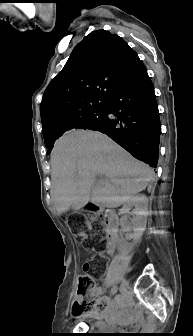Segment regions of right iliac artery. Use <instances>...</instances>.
<instances>
[{
    "instance_id": "82829eb1",
    "label": "right iliac artery",
    "mask_w": 193,
    "mask_h": 336,
    "mask_svg": "<svg viewBox=\"0 0 193 336\" xmlns=\"http://www.w3.org/2000/svg\"><path fill=\"white\" fill-rule=\"evenodd\" d=\"M113 290L116 291V287H113ZM120 297H121V295L118 294V295L115 296L114 300L118 301L120 299Z\"/></svg>"
}]
</instances>
